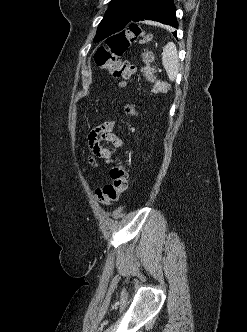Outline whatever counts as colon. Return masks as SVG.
<instances>
[{
    "label": "colon",
    "mask_w": 247,
    "mask_h": 332,
    "mask_svg": "<svg viewBox=\"0 0 247 332\" xmlns=\"http://www.w3.org/2000/svg\"><path fill=\"white\" fill-rule=\"evenodd\" d=\"M151 37L140 26L131 24L126 30L112 36L106 47H100L94 59L96 64L108 70L114 77L122 78L121 85L130 82L136 73L135 67L127 61L119 58L127 51L133 41H139L145 46L141 53L142 67L139 75L141 86L152 82L154 69L152 67L153 55L148 48ZM138 105L129 103L125 106V118L122 122H127L131 117L136 116ZM111 183L95 189V196L103 204H111L119 200L128 187V173L125 161L118 157L116 164L110 170Z\"/></svg>",
    "instance_id": "obj_1"
}]
</instances>
